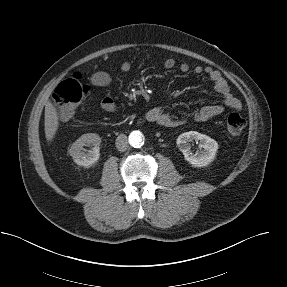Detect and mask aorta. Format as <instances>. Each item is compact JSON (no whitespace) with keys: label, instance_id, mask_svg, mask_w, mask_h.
I'll return each mask as SVG.
<instances>
[{"label":"aorta","instance_id":"obj_1","mask_svg":"<svg viewBox=\"0 0 287 287\" xmlns=\"http://www.w3.org/2000/svg\"><path fill=\"white\" fill-rule=\"evenodd\" d=\"M129 143L133 147H140L143 143V135L140 131H133L129 135Z\"/></svg>","mask_w":287,"mask_h":287}]
</instances>
